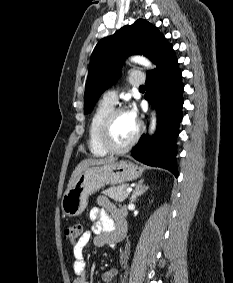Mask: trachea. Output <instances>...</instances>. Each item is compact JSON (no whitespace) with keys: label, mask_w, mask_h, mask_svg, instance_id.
<instances>
[{"label":"trachea","mask_w":233,"mask_h":283,"mask_svg":"<svg viewBox=\"0 0 233 283\" xmlns=\"http://www.w3.org/2000/svg\"><path fill=\"white\" fill-rule=\"evenodd\" d=\"M139 89H145V86H144V85H142V86H140V87H139Z\"/></svg>","instance_id":"trachea-1"}]
</instances>
